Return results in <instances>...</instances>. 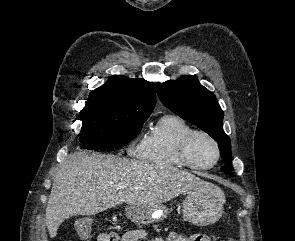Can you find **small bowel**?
I'll use <instances>...</instances> for the list:
<instances>
[{"label":"small bowel","mask_w":295,"mask_h":241,"mask_svg":"<svg viewBox=\"0 0 295 241\" xmlns=\"http://www.w3.org/2000/svg\"><path fill=\"white\" fill-rule=\"evenodd\" d=\"M148 238V233L144 230H131L124 233L122 236L116 233H102L98 241H145ZM151 241H210L205 234H193L185 236L178 231H171L166 238H153Z\"/></svg>","instance_id":"c3829d8e"}]
</instances>
